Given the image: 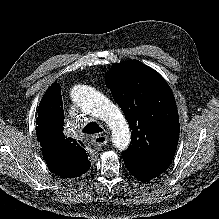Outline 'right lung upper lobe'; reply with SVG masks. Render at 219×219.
Segmentation results:
<instances>
[{
  "label": "right lung upper lobe",
  "instance_id": "right-lung-upper-lobe-1",
  "mask_svg": "<svg viewBox=\"0 0 219 219\" xmlns=\"http://www.w3.org/2000/svg\"><path fill=\"white\" fill-rule=\"evenodd\" d=\"M36 124L37 139L51 172L61 178H74L88 171L91 163L85 149L63 133L64 111L58 83H53L42 97Z\"/></svg>",
  "mask_w": 219,
  "mask_h": 219
}]
</instances>
